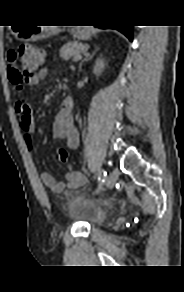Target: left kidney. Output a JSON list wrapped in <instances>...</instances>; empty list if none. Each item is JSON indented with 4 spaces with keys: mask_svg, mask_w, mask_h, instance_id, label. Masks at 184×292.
Here are the masks:
<instances>
[{
    "mask_svg": "<svg viewBox=\"0 0 184 292\" xmlns=\"http://www.w3.org/2000/svg\"><path fill=\"white\" fill-rule=\"evenodd\" d=\"M105 68V61L104 59H97L96 63H95V66L93 68V73L96 75V76H100L102 71L104 70Z\"/></svg>",
    "mask_w": 184,
    "mask_h": 292,
    "instance_id": "left-kidney-1",
    "label": "left kidney"
}]
</instances>
